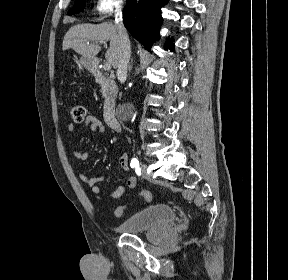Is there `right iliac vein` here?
Here are the masks:
<instances>
[{
    "instance_id": "right-iliac-vein-1",
    "label": "right iliac vein",
    "mask_w": 288,
    "mask_h": 280,
    "mask_svg": "<svg viewBox=\"0 0 288 280\" xmlns=\"http://www.w3.org/2000/svg\"><path fill=\"white\" fill-rule=\"evenodd\" d=\"M141 169H142L143 172H145V171H146V165H145V164H142V165H141Z\"/></svg>"
}]
</instances>
